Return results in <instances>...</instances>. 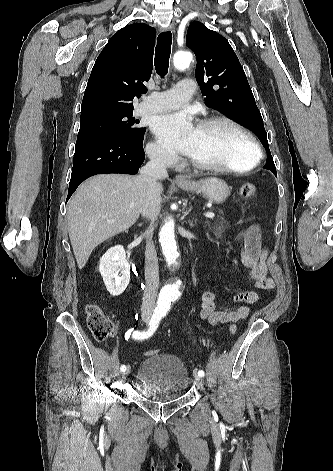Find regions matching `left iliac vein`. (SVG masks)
<instances>
[{
	"label": "left iliac vein",
	"instance_id": "1",
	"mask_svg": "<svg viewBox=\"0 0 333 471\" xmlns=\"http://www.w3.org/2000/svg\"><path fill=\"white\" fill-rule=\"evenodd\" d=\"M193 376H194V379L197 383H201V381H202L201 376H199L197 373H194Z\"/></svg>",
	"mask_w": 333,
	"mask_h": 471
}]
</instances>
